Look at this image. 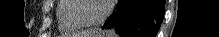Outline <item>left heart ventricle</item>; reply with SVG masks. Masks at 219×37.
Segmentation results:
<instances>
[{
	"mask_svg": "<svg viewBox=\"0 0 219 37\" xmlns=\"http://www.w3.org/2000/svg\"><path fill=\"white\" fill-rule=\"evenodd\" d=\"M105 10V3L102 0H84L81 2L80 16L86 20L98 19Z\"/></svg>",
	"mask_w": 219,
	"mask_h": 37,
	"instance_id": "1",
	"label": "left heart ventricle"
}]
</instances>
